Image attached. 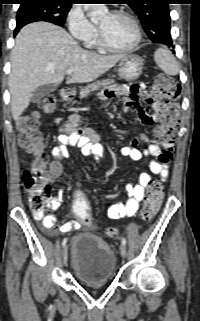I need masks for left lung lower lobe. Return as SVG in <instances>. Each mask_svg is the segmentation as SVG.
<instances>
[{
  "label": "left lung lower lobe",
  "mask_w": 200,
  "mask_h": 321,
  "mask_svg": "<svg viewBox=\"0 0 200 321\" xmlns=\"http://www.w3.org/2000/svg\"><path fill=\"white\" fill-rule=\"evenodd\" d=\"M163 45L171 47L172 46V41L165 42Z\"/></svg>",
  "instance_id": "1"
}]
</instances>
